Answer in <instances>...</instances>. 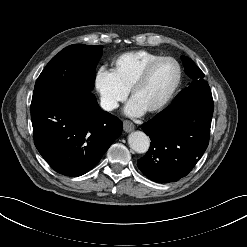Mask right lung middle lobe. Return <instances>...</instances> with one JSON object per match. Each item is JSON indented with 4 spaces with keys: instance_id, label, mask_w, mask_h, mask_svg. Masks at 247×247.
I'll list each match as a JSON object with an SVG mask.
<instances>
[{
    "instance_id": "dd1d6c3e",
    "label": "right lung middle lobe",
    "mask_w": 247,
    "mask_h": 247,
    "mask_svg": "<svg viewBox=\"0 0 247 247\" xmlns=\"http://www.w3.org/2000/svg\"><path fill=\"white\" fill-rule=\"evenodd\" d=\"M102 45H70L55 55L38 77L32 102L49 93L66 94L74 100L90 94L94 86L96 64Z\"/></svg>"
}]
</instances>
